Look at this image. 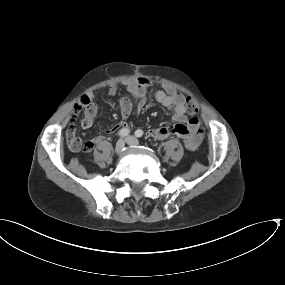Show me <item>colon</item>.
Masks as SVG:
<instances>
[{
	"label": "colon",
	"instance_id": "1",
	"mask_svg": "<svg viewBox=\"0 0 285 285\" xmlns=\"http://www.w3.org/2000/svg\"><path fill=\"white\" fill-rule=\"evenodd\" d=\"M90 105H91V99L87 95L81 96L78 99L77 104L72 111L73 118L75 119L82 110L89 107ZM187 110H188V113L191 115H194L197 113L198 107L193 100H190L187 103ZM72 139L77 149L81 150L86 146V141H84L83 139L79 137H75V136H73Z\"/></svg>",
	"mask_w": 285,
	"mask_h": 285
}]
</instances>
